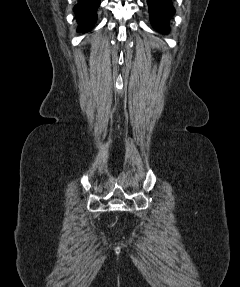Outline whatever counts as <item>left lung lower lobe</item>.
Segmentation results:
<instances>
[{"label":"left lung lower lobe","mask_w":240,"mask_h":287,"mask_svg":"<svg viewBox=\"0 0 240 287\" xmlns=\"http://www.w3.org/2000/svg\"><path fill=\"white\" fill-rule=\"evenodd\" d=\"M152 25L161 32L168 31V22L175 13L171 0H147Z\"/></svg>","instance_id":"1"}]
</instances>
